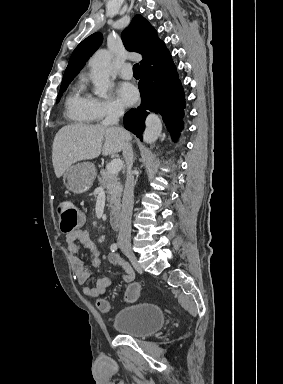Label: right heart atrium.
<instances>
[{"mask_svg":"<svg viewBox=\"0 0 283 384\" xmlns=\"http://www.w3.org/2000/svg\"><path fill=\"white\" fill-rule=\"evenodd\" d=\"M123 112L121 103L116 99L93 98V113L95 122L102 123L118 117Z\"/></svg>","mask_w":283,"mask_h":384,"instance_id":"obj_1","label":"right heart atrium"}]
</instances>
